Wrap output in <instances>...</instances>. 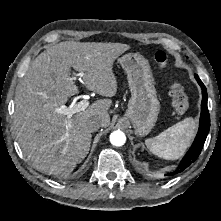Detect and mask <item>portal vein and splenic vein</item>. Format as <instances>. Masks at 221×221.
<instances>
[{"label": "portal vein and splenic vein", "mask_w": 221, "mask_h": 221, "mask_svg": "<svg viewBox=\"0 0 221 221\" xmlns=\"http://www.w3.org/2000/svg\"><path fill=\"white\" fill-rule=\"evenodd\" d=\"M76 76H81V74H76ZM75 80V77L73 78ZM89 106V101L87 99H83L77 104H72L69 107L61 106L56 108V112L60 114L66 115L68 118L72 117L75 113L84 111Z\"/></svg>", "instance_id": "1"}]
</instances>
